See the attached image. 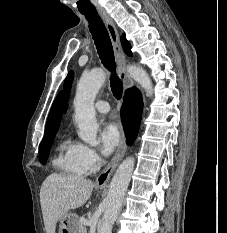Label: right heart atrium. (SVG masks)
<instances>
[{"instance_id":"d8ad5b80","label":"right heart atrium","mask_w":227,"mask_h":233,"mask_svg":"<svg viewBox=\"0 0 227 233\" xmlns=\"http://www.w3.org/2000/svg\"><path fill=\"white\" fill-rule=\"evenodd\" d=\"M79 145V159L85 173L94 172L100 165V157L97 151L84 144Z\"/></svg>"}]
</instances>
